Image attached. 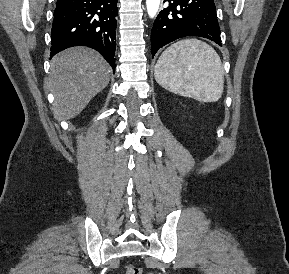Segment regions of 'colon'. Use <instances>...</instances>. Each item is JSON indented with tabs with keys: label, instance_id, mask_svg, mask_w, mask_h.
Listing matches in <instances>:
<instances>
[{
	"label": "colon",
	"instance_id": "5ec220e1",
	"mask_svg": "<svg viewBox=\"0 0 289 274\" xmlns=\"http://www.w3.org/2000/svg\"><path fill=\"white\" fill-rule=\"evenodd\" d=\"M142 268L135 266V265H128L126 267V273L125 274H142Z\"/></svg>",
	"mask_w": 289,
	"mask_h": 274
}]
</instances>
